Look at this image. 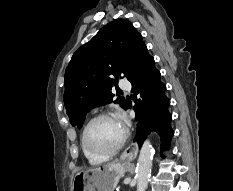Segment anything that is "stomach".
Masks as SVG:
<instances>
[{"instance_id":"stomach-1","label":"stomach","mask_w":233,"mask_h":191,"mask_svg":"<svg viewBox=\"0 0 233 191\" xmlns=\"http://www.w3.org/2000/svg\"><path fill=\"white\" fill-rule=\"evenodd\" d=\"M125 170L120 162L80 170L74 177L72 191H114Z\"/></svg>"}]
</instances>
